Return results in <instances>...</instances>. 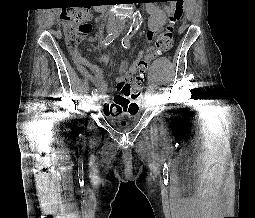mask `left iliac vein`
<instances>
[{
    "mask_svg": "<svg viewBox=\"0 0 255 218\" xmlns=\"http://www.w3.org/2000/svg\"><path fill=\"white\" fill-rule=\"evenodd\" d=\"M144 100H145V101H149V100H150V97H149V94H148V93H145V95H144Z\"/></svg>",
    "mask_w": 255,
    "mask_h": 218,
    "instance_id": "1",
    "label": "left iliac vein"
}]
</instances>
